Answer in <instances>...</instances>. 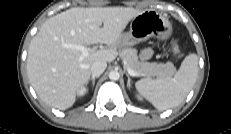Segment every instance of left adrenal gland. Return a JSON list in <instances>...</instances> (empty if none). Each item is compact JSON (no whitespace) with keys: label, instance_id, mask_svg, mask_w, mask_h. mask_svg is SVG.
<instances>
[{"label":"left adrenal gland","instance_id":"a2214340","mask_svg":"<svg viewBox=\"0 0 231 134\" xmlns=\"http://www.w3.org/2000/svg\"><path fill=\"white\" fill-rule=\"evenodd\" d=\"M126 76H127V78H128V81H127V87H130L131 78H130V76H129V74H128V73H126Z\"/></svg>","mask_w":231,"mask_h":134}]
</instances>
